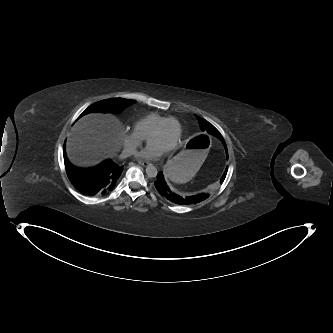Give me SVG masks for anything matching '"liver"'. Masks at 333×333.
<instances>
[{
	"label": "liver",
	"mask_w": 333,
	"mask_h": 333,
	"mask_svg": "<svg viewBox=\"0 0 333 333\" xmlns=\"http://www.w3.org/2000/svg\"><path fill=\"white\" fill-rule=\"evenodd\" d=\"M124 132L120 121L108 114L92 113L80 118L68 134L66 151L72 163L82 167L112 158L121 148Z\"/></svg>",
	"instance_id": "6515ba94"
}]
</instances>
